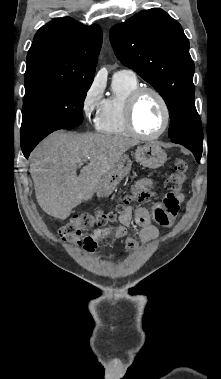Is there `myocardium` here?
Returning a JSON list of instances; mask_svg holds the SVG:
<instances>
[{"mask_svg": "<svg viewBox=\"0 0 221 379\" xmlns=\"http://www.w3.org/2000/svg\"><path fill=\"white\" fill-rule=\"evenodd\" d=\"M146 93L153 94L160 102L162 110H163L162 127L160 128L158 132L151 135L141 133L137 129L136 124H135V108H136L137 102L140 99V97ZM125 122H126V126L129 132L140 139L154 140L161 137L168 129V126L170 123V110H169V106L165 97L162 95L161 92H159L157 89L153 87L142 86V87L136 88L130 93L125 103Z\"/></svg>", "mask_w": 221, "mask_h": 379, "instance_id": "myocardium-1", "label": "myocardium"}]
</instances>
